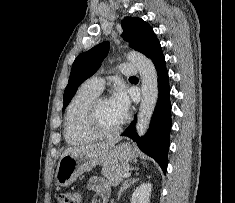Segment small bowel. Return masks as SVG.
<instances>
[{
    "instance_id": "1",
    "label": "small bowel",
    "mask_w": 235,
    "mask_h": 203,
    "mask_svg": "<svg viewBox=\"0 0 235 203\" xmlns=\"http://www.w3.org/2000/svg\"><path fill=\"white\" fill-rule=\"evenodd\" d=\"M88 188L91 191L95 192L101 198L103 203H105V201L109 197L110 194L109 185L101 177L95 176L90 178V180L88 181Z\"/></svg>"
}]
</instances>
